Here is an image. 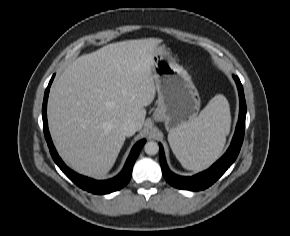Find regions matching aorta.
<instances>
[{
    "label": "aorta",
    "instance_id": "1",
    "mask_svg": "<svg viewBox=\"0 0 290 236\" xmlns=\"http://www.w3.org/2000/svg\"><path fill=\"white\" fill-rule=\"evenodd\" d=\"M144 151L148 155H155L159 151V145L154 141H149L144 145Z\"/></svg>",
    "mask_w": 290,
    "mask_h": 236
}]
</instances>
